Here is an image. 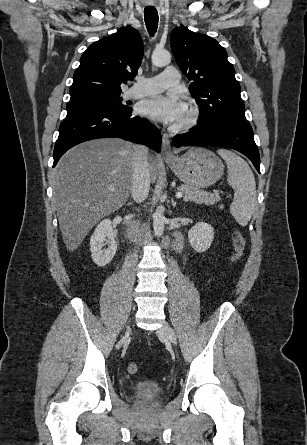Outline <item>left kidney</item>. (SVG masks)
Listing matches in <instances>:
<instances>
[{"label": "left kidney", "instance_id": "obj_1", "mask_svg": "<svg viewBox=\"0 0 307 445\" xmlns=\"http://www.w3.org/2000/svg\"><path fill=\"white\" fill-rule=\"evenodd\" d=\"M213 229L208 223H197L188 231L189 243L197 253H204L213 241Z\"/></svg>", "mask_w": 307, "mask_h": 445}]
</instances>
